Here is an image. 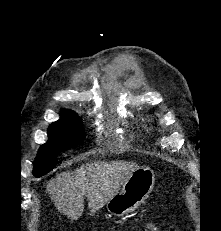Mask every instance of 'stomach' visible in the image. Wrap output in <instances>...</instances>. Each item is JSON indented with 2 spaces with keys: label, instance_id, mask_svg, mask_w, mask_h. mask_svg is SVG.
<instances>
[{
  "label": "stomach",
  "instance_id": "stomach-1",
  "mask_svg": "<svg viewBox=\"0 0 221 231\" xmlns=\"http://www.w3.org/2000/svg\"><path fill=\"white\" fill-rule=\"evenodd\" d=\"M154 184V171L149 167H139L131 174L121 191L107 202L108 212L120 217L134 211L148 198Z\"/></svg>",
  "mask_w": 221,
  "mask_h": 231
}]
</instances>
